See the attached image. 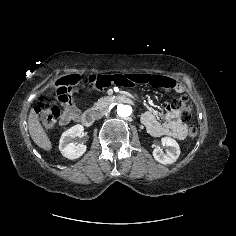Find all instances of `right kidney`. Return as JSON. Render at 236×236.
<instances>
[{
  "label": "right kidney",
  "instance_id": "right-kidney-1",
  "mask_svg": "<svg viewBox=\"0 0 236 236\" xmlns=\"http://www.w3.org/2000/svg\"><path fill=\"white\" fill-rule=\"evenodd\" d=\"M83 131L84 127L77 124L62 134L59 142V150L64 157L73 160L81 157L86 152L87 146L85 144L74 142V139L80 137Z\"/></svg>",
  "mask_w": 236,
  "mask_h": 236
}]
</instances>
